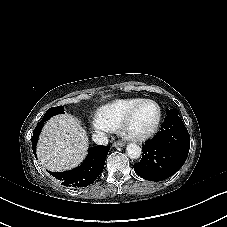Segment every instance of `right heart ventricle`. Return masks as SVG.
Returning a JSON list of instances; mask_svg holds the SVG:
<instances>
[{
    "label": "right heart ventricle",
    "instance_id": "right-heart-ventricle-1",
    "mask_svg": "<svg viewBox=\"0 0 227 227\" xmlns=\"http://www.w3.org/2000/svg\"><path fill=\"white\" fill-rule=\"evenodd\" d=\"M140 100L142 99H117L103 105L94 116V124L116 128L126 113Z\"/></svg>",
    "mask_w": 227,
    "mask_h": 227
}]
</instances>
